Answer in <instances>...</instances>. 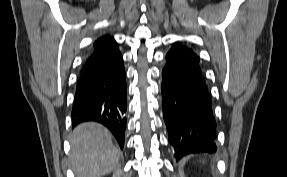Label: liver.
Instances as JSON below:
<instances>
[{"label": "liver", "instance_id": "6515ba94", "mask_svg": "<svg viewBox=\"0 0 287 177\" xmlns=\"http://www.w3.org/2000/svg\"><path fill=\"white\" fill-rule=\"evenodd\" d=\"M70 160L77 177H101L112 172L120 150L102 125L88 122L77 126L70 138Z\"/></svg>", "mask_w": 287, "mask_h": 177}]
</instances>
